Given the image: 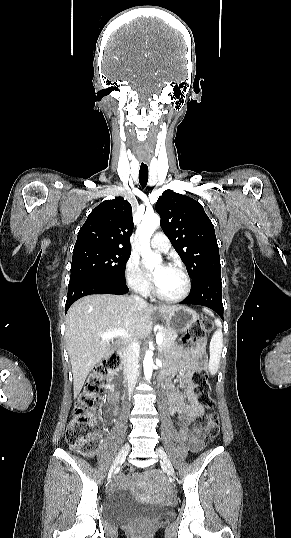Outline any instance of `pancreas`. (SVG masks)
I'll use <instances>...</instances> for the list:
<instances>
[{
  "label": "pancreas",
  "mask_w": 291,
  "mask_h": 538,
  "mask_svg": "<svg viewBox=\"0 0 291 538\" xmlns=\"http://www.w3.org/2000/svg\"><path fill=\"white\" fill-rule=\"evenodd\" d=\"M161 334H162V337H163V342L161 345H159V349L161 351H165L167 348H169L173 343L174 341L176 340L177 338V333L169 330V329H166V328H163L161 330Z\"/></svg>",
  "instance_id": "1"
}]
</instances>
